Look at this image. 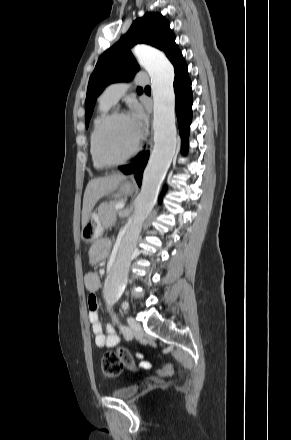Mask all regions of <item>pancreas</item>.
<instances>
[{
    "label": "pancreas",
    "mask_w": 291,
    "mask_h": 440,
    "mask_svg": "<svg viewBox=\"0 0 291 440\" xmlns=\"http://www.w3.org/2000/svg\"><path fill=\"white\" fill-rule=\"evenodd\" d=\"M119 203H122V201H112L109 203H102L98 207V216L100 219V222L105 228L112 227L117 219V212L118 210L115 209V206Z\"/></svg>",
    "instance_id": "pancreas-1"
}]
</instances>
